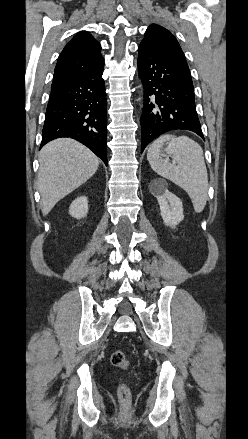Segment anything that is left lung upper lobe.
I'll return each instance as SVG.
<instances>
[{
  "instance_id": "left-lung-upper-lobe-1",
  "label": "left lung upper lobe",
  "mask_w": 248,
  "mask_h": 439,
  "mask_svg": "<svg viewBox=\"0 0 248 439\" xmlns=\"http://www.w3.org/2000/svg\"><path fill=\"white\" fill-rule=\"evenodd\" d=\"M141 44L186 62L185 55L176 38L160 25H150Z\"/></svg>"
}]
</instances>
